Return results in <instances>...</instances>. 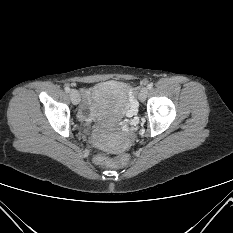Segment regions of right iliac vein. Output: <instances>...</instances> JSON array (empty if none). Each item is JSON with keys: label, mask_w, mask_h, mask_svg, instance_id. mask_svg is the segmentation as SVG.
<instances>
[{"label": "right iliac vein", "mask_w": 233, "mask_h": 233, "mask_svg": "<svg viewBox=\"0 0 233 233\" xmlns=\"http://www.w3.org/2000/svg\"><path fill=\"white\" fill-rule=\"evenodd\" d=\"M70 98L73 104L77 105L80 102L79 93L76 90L70 91Z\"/></svg>", "instance_id": "obj_1"}]
</instances>
